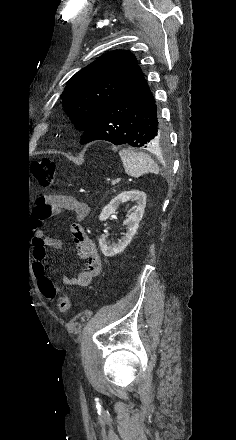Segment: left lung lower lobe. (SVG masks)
Listing matches in <instances>:
<instances>
[{
    "instance_id": "obj_1",
    "label": "left lung lower lobe",
    "mask_w": 236,
    "mask_h": 440,
    "mask_svg": "<svg viewBox=\"0 0 236 440\" xmlns=\"http://www.w3.org/2000/svg\"><path fill=\"white\" fill-rule=\"evenodd\" d=\"M95 140L145 148L158 147L165 142L166 131L143 76L104 108L84 130L80 143Z\"/></svg>"
}]
</instances>
